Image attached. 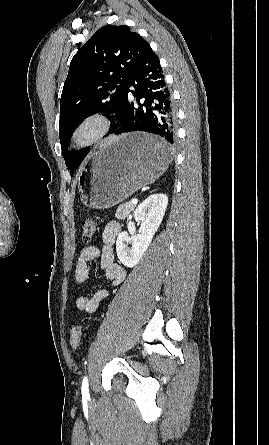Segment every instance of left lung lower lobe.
<instances>
[{"label":"left lung lower lobe","instance_id":"1","mask_svg":"<svg viewBox=\"0 0 269 445\" xmlns=\"http://www.w3.org/2000/svg\"><path fill=\"white\" fill-rule=\"evenodd\" d=\"M130 87L135 91H130ZM129 92L138 101L137 105L130 100ZM120 119L121 127L116 134L132 131L155 134L159 141L146 145L145 151L149 154L171 153L176 140L177 115L159 58L150 46L145 49L128 81Z\"/></svg>","mask_w":269,"mask_h":445}]
</instances>
